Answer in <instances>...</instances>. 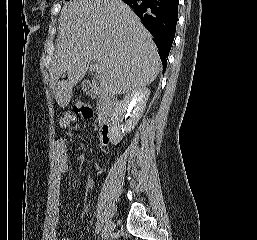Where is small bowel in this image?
Listing matches in <instances>:
<instances>
[{
	"instance_id": "c3829d8e",
	"label": "small bowel",
	"mask_w": 257,
	"mask_h": 240,
	"mask_svg": "<svg viewBox=\"0 0 257 240\" xmlns=\"http://www.w3.org/2000/svg\"><path fill=\"white\" fill-rule=\"evenodd\" d=\"M54 151V194L50 215V240H70L61 238L58 232L59 226V186L61 178L69 171L68 147L65 139L58 138L53 145Z\"/></svg>"
}]
</instances>
